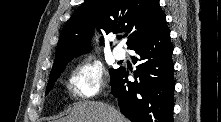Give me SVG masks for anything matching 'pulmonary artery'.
Listing matches in <instances>:
<instances>
[{
	"mask_svg": "<svg viewBox=\"0 0 221 122\" xmlns=\"http://www.w3.org/2000/svg\"><path fill=\"white\" fill-rule=\"evenodd\" d=\"M113 55L117 60H121L125 58V51L121 47H115L113 49Z\"/></svg>",
	"mask_w": 221,
	"mask_h": 122,
	"instance_id": "e3ab8cb5",
	"label": "pulmonary artery"
}]
</instances>
